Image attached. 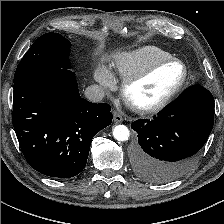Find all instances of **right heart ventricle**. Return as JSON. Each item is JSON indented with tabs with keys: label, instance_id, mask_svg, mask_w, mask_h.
<instances>
[{
	"label": "right heart ventricle",
	"instance_id": "e07e8e85",
	"mask_svg": "<svg viewBox=\"0 0 224 224\" xmlns=\"http://www.w3.org/2000/svg\"><path fill=\"white\" fill-rule=\"evenodd\" d=\"M172 57L166 50L147 45L132 51L121 52L116 56L114 71L122 78L134 75L150 64Z\"/></svg>",
	"mask_w": 224,
	"mask_h": 224
}]
</instances>
